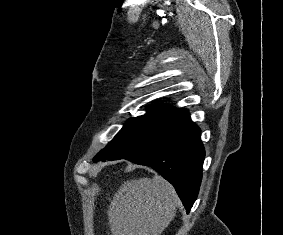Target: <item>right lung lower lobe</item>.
<instances>
[{
    "instance_id": "obj_1",
    "label": "right lung lower lobe",
    "mask_w": 283,
    "mask_h": 235,
    "mask_svg": "<svg viewBox=\"0 0 283 235\" xmlns=\"http://www.w3.org/2000/svg\"><path fill=\"white\" fill-rule=\"evenodd\" d=\"M204 157L200 129L187 114L165 137L125 159L160 173L189 212L199 192Z\"/></svg>"
}]
</instances>
